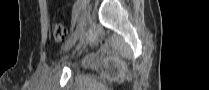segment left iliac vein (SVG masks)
<instances>
[{"mask_svg":"<svg viewBox=\"0 0 209 90\" xmlns=\"http://www.w3.org/2000/svg\"><path fill=\"white\" fill-rule=\"evenodd\" d=\"M89 18H90V11L86 9L81 19L77 21L76 29L72 30V33H73L72 37H70L67 40V42L64 44L63 46L64 51L69 50L75 44L76 39H80L82 34H84V32H87L86 23Z\"/></svg>","mask_w":209,"mask_h":90,"instance_id":"4c4485c4","label":"left iliac vein"}]
</instances>
